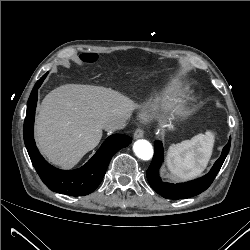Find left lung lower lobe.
<instances>
[{
    "label": "left lung lower lobe",
    "instance_id": "1",
    "mask_svg": "<svg viewBox=\"0 0 250 250\" xmlns=\"http://www.w3.org/2000/svg\"><path fill=\"white\" fill-rule=\"evenodd\" d=\"M231 138L222 150L210 172L201 178L185 183L165 182L159 177V168L163 162V148L160 141L155 142V152L152 163L146 172L150 186L167 199L190 198L205 191L215 179L230 149Z\"/></svg>",
    "mask_w": 250,
    "mask_h": 250
}]
</instances>
